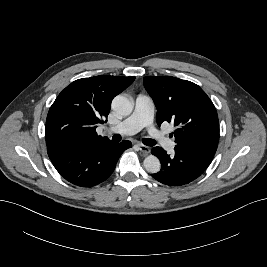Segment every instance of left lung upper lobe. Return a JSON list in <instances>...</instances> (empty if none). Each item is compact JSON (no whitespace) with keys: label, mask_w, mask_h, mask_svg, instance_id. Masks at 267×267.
I'll list each match as a JSON object with an SVG mask.
<instances>
[{"label":"left lung upper lobe","mask_w":267,"mask_h":267,"mask_svg":"<svg viewBox=\"0 0 267 267\" xmlns=\"http://www.w3.org/2000/svg\"><path fill=\"white\" fill-rule=\"evenodd\" d=\"M143 82L157 107V124L167 121L176 126V146L214 155L219 121L206 93L195 83L172 76H146Z\"/></svg>","instance_id":"left-lung-upper-lobe-1"}]
</instances>
